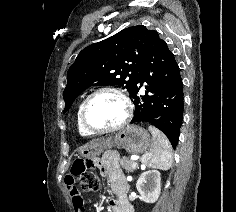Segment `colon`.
Listing matches in <instances>:
<instances>
[{
	"instance_id": "obj_1",
	"label": "colon",
	"mask_w": 236,
	"mask_h": 212,
	"mask_svg": "<svg viewBox=\"0 0 236 212\" xmlns=\"http://www.w3.org/2000/svg\"><path fill=\"white\" fill-rule=\"evenodd\" d=\"M73 173L79 176L81 189L86 191L98 189V178L92 161H77L73 166Z\"/></svg>"
}]
</instances>
